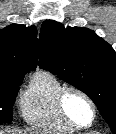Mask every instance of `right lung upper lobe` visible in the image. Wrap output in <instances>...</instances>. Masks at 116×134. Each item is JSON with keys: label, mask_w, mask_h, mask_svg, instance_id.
I'll return each mask as SVG.
<instances>
[{"label": "right lung upper lobe", "mask_w": 116, "mask_h": 134, "mask_svg": "<svg viewBox=\"0 0 116 134\" xmlns=\"http://www.w3.org/2000/svg\"><path fill=\"white\" fill-rule=\"evenodd\" d=\"M35 26L12 24L0 30V85L22 82L37 66L39 40Z\"/></svg>", "instance_id": "obj_1"}]
</instances>
